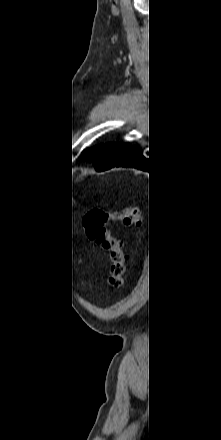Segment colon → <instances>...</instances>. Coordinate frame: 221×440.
I'll return each instance as SVG.
<instances>
[{"label":"colon","mask_w":221,"mask_h":440,"mask_svg":"<svg viewBox=\"0 0 221 440\" xmlns=\"http://www.w3.org/2000/svg\"><path fill=\"white\" fill-rule=\"evenodd\" d=\"M118 220H128L131 224L138 225L141 223V214L137 210H129L103 216H87L84 221L89 239L110 252L112 265L109 283L116 290L124 284L127 255L123 250L122 242L111 236L105 226L110 221Z\"/></svg>","instance_id":"5ec220e1"}]
</instances>
